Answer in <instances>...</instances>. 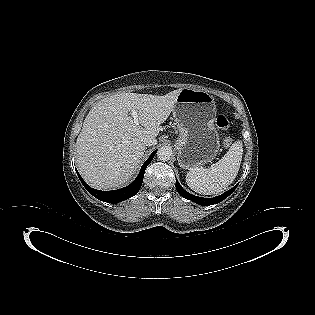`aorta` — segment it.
I'll return each mask as SVG.
<instances>
[{
  "mask_svg": "<svg viewBox=\"0 0 315 315\" xmlns=\"http://www.w3.org/2000/svg\"><path fill=\"white\" fill-rule=\"evenodd\" d=\"M158 159L161 161H168L172 156V149L169 146H164L157 151Z\"/></svg>",
  "mask_w": 315,
  "mask_h": 315,
  "instance_id": "762f6f07",
  "label": "aorta"
}]
</instances>
